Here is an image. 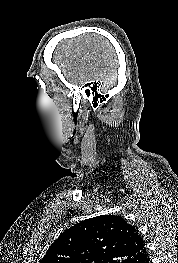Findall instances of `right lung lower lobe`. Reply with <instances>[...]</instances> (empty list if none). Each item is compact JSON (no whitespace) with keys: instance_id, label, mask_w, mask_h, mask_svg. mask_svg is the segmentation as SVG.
<instances>
[{"instance_id":"98d812e1","label":"right lung lower lobe","mask_w":178,"mask_h":263,"mask_svg":"<svg viewBox=\"0 0 178 263\" xmlns=\"http://www.w3.org/2000/svg\"><path fill=\"white\" fill-rule=\"evenodd\" d=\"M144 263H150V257L144 261Z\"/></svg>"}]
</instances>
